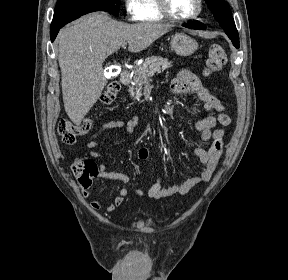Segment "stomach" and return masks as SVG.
Listing matches in <instances>:
<instances>
[{"instance_id":"stomach-1","label":"stomach","mask_w":288,"mask_h":280,"mask_svg":"<svg viewBox=\"0 0 288 280\" xmlns=\"http://www.w3.org/2000/svg\"><path fill=\"white\" fill-rule=\"evenodd\" d=\"M171 48L180 56H190L198 48L197 42L185 33H177L171 37Z\"/></svg>"}]
</instances>
